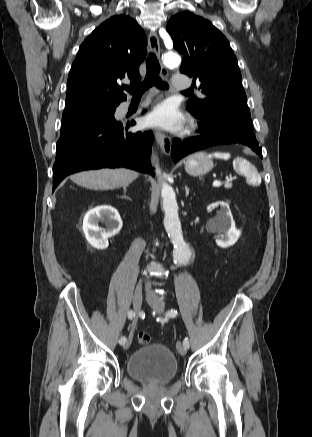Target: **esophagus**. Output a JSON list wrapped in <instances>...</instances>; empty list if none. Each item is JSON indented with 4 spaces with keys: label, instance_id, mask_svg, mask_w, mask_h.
Segmentation results:
<instances>
[{
    "label": "esophagus",
    "instance_id": "34e87169",
    "mask_svg": "<svg viewBox=\"0 0 312 437\" xmlns=\"http://www.w3.org/2000/svg\"><path fill=\"white\" fill-rule=\"evenodd\" d=\"M148 44H149V48H150L151 52L155 56L159 57L160 56V44H159V39H158V36L156 35V33H154V32L149 33ZM161 72L165 76L168 74V71L163 67L161 69ZM155 136H156V139L161 144L163 152L166 155H170L171 148H172L171 138L168 135H166L160 131H156Z\"/></svg>",
    "mask_w": 312,
    "mask_h": 437
}]
</instances>
